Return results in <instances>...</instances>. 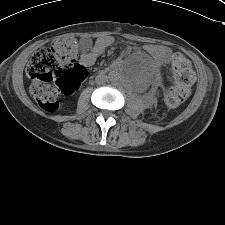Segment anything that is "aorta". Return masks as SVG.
Returning <instances> with one entry per match:
<instances>
[{
  "instance_id": "1",
  "label": "aorta",
  "mask_w": 225,
  "mask_h": 225,
  "mask_svg": "<svg viewBox=\"0 0 225 225\" xmlns=\"http://www.w3.org/2000/svg\"><path fill=\"white\" fill-rule=\"evenodd\" d=\"M110 80L115 81L116 79L112 76V77H110Z\"/></svg>"
}]
</instances>
